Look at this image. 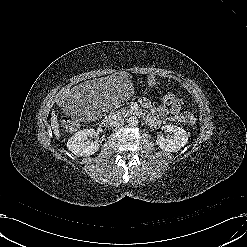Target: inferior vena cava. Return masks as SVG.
<instances>
[{"label":"inferior vena cava","instance_id":"1","mask_svg":"<svg viewBox=\"0 0 247 247\" xmlns=\"http://www.w3.org/2000/svg\"><path fill=\"white\" fill-rule=\"evenodd\" d=\"M124 124V119L120 116H118L115 113H112L109 116V125L110 127H115Z\"/></svg>","mask_w":247,"mask_h":247}]
</instances>
